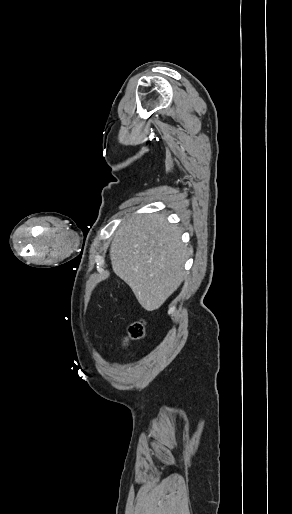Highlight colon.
<instances>
[{
	"mask_svg": "<svg viewBox=\"0 0 292 514\" xmlns=\"http://www.w3.org/2000/svg\"><path fill=\"white\" fill-rule=\"evenodd\" d=\"M147 323L144 321H136L129 327V337L133 341H141L145 338V327Z\"/></svg>",
	"mask_w": 292,
	"mask_h": 514,
	"instance_id": "colon-1",
	"label": "colon"
}]
</instances>
